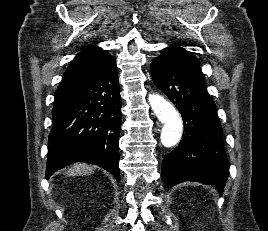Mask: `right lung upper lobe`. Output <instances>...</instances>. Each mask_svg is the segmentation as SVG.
Segmentation results:
<instances>
[{"mask_svg":"<svg viewBox=\"0 0 268 231\" xmlns=\"http://www.w3.org/2000/svg\"><path fill=\"white\" fill-rule=\"evenodd\" d=\"M115 59L107 51L97 46L83 49L70 63L63 81L56 92H68L79 83L101 71Z\"/></svg>","mask_w":268,"mask_h":231,"instance_id":"cb5924a9","label":"right lung upper lobe"}]
</instances>
